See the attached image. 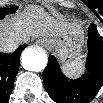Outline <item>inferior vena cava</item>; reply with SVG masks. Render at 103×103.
<instances>
[{
  "label": "inferior vena cava",
  "instance_id": "inferior-vena-cava-1",
  "mask_svg": "<svg viewBox=\"0 0 103 103\" xmlns=\"http://www.w3.org/2000/svg\"><path fill=\"white\" fill-rule=\"evenodd\" d=\"M18 47L17 43L10 42L6 44H1V48L6 52H12Z\"/></svg>",
  "mask_w": 103,
  "mask_h": 103
}]
</instances>
